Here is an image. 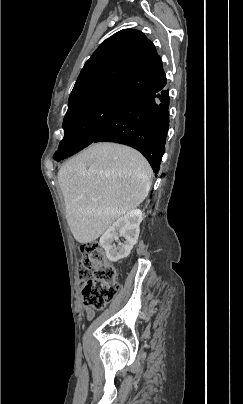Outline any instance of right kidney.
Listing matches in <instances>:
<instances>
[{"label": "right kidney", "mask_w": 243, "mask_h": 404, "mask_svg": "<svg viewBox=\"0 0 243 404\" xmlns=\"http://www.w3.org/2000/svg\"><path fill=\"white\" fill-rule=\"evenodd\" d=\"M142 220L141 210H131V212H127L126 216L118 218L104 232L99 244L104 248L110 262H118L129 256L133 246L137 244ZM119 238H125L124 242H119ZM113 242H117V246Z\"/></svg>", "instance_id": "1"}]
</instances>
